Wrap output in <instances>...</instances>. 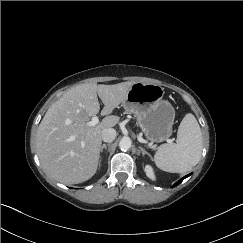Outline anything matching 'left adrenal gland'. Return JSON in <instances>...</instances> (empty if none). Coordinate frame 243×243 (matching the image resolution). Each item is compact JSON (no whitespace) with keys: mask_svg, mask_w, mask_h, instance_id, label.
<instances>
[{"mask_svg":"<svg viewBox=\"0 0 243 243\" xmlns=\"http://www.w3.org/2000/svg\"><path fill=\"white\" fill-rule=\"evenodd\" d=\"M140 151L142 152V155L145 156V155H148L151 159H152V156L142 147H139Z\"/></svg>","mask_w":243,"mask_h":243,"instance_id":"a2214340","label":"left adrenal gland"}]
</instances>
